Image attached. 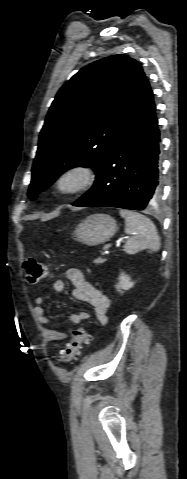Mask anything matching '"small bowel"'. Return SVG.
Listing matches in <instances>:
<instances>
[{
    "instance_id": "1",
    "label": "small bowel",
    "mask_w": 187,
    "mask_h": 479,
    "mask_svg": "<svg viewBox=\"0 0 187 479\" xmlns=\"http://www.w3.org/2000/svg\"><path fill=\"white\" fill-rule=\"evenodd\" d=\"M67 278L72 282L74 288L71 292L72 297L81 302H86L94 308V313L97 321L100 324H106L107 313L110 308V299L99 289L95 288L86 277L85 273L78 268H70L67 270ZM65 290V283L62 280H56L53 283V291L55 293H62ZM46 303V297L38 295L35 298L34 315L36 319L44 325V334L49 341H59L63 338V333L47 327L49 320L45 316L43 305ZM90 315L86 311H80L70 315L72 323L79 325L87 321Z\"/></svg>"
}]
</instances>
